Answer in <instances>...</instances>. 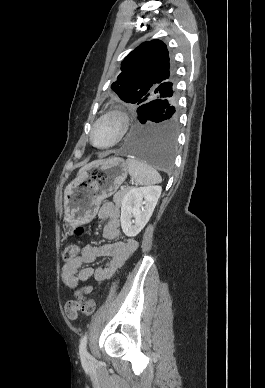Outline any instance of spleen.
<instances>
[{
  "instance_id": "obj_1",
  "label": "spleen",
  "mask_w": 265,
  "mask_h": 388,
  "mask_svg": "<svg viewBox=\"0 0 265 388\" xmlns=\"http://www.w3.org/2000/svg\"><path fill=\"white\" fill-rule=\"evenodd\" d=\"M126 164L131 178H134L138 186H151V184H160L162 182L157 170H154L152 166H149L143 160H137V158L128 156Z\"/></svg>"
}]
</instances>
